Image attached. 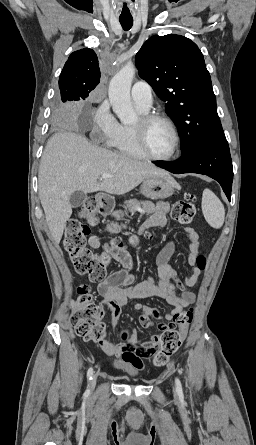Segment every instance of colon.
Returning a JSON list of instances; mask_svg holds the SVG:
<instances>
[{
	"label": "colon",
	"instance_id": "5ec220e1",
	"mask_svg": "<svg viewBox=\"0 0 256 445\" xmlns=\"http://www.w3.org/2000/svg\"><path fill=\"white\" fill-rule=\"evenodd\" d=\"M195 197L192 193H185L172 207V218L179 224H190L195 215ZM98 224L95 211V201L88 199L81 207L78 218L72 219L65 232L63 241L64 250L69 254L75 270L88 276L92 281H103L106 277V267L111 263L113 257L109 253H93L86 245L90 230ZM113 246L122 248L120 240L116 239ZM197 266L203 269L205 259L198 256ZM77 298L73 304L71 324L77 335L85 340L96 343H104L107 338L106 326L102 321V306L93 300L91 290L82 285L77 290ZM192 310H184L179 313L174 323L179 329L170 327L161 334L157 348L151 354L156 366L166 364L170 357L180 348L184 333L192 321ZM127 338V335L124 336Z\"/></svg>",
	"mask_w": 256,
	"mask_h": 445
}]
</instances>
